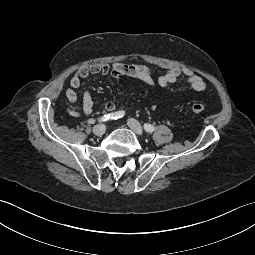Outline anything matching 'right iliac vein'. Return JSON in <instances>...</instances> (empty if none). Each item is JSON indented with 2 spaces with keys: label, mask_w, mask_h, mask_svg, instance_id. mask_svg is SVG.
<instances>
[{
  "label": "right iliac vein",
  "mask_w": 255,
  "mask_h": 255,
  "mask_svg": "<svg viewBox=\"0 0 255 255\" xmlns=\"http://www.w3.org/2000/svg\"><path fill=\"white\" fill-rule=\"evenodd\" d=\"M106 126L104 124H99L94 126L93 133L97 136H102L105 133Z\"/></svg>",
  "instance_id": "right-iliac-vein-1"
}]
</instances>
